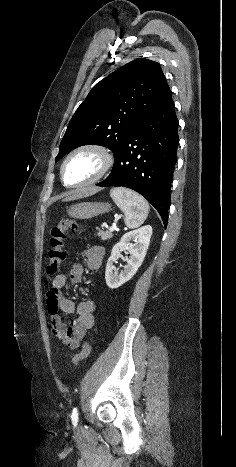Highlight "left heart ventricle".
Masks as SVG:
<instances>
[{
  "mask_svg": "<svg viewBox=\"0 0 236 467\" xmlns=\"http://www.w3.org/2000/svg\"><path fill=\"white\" fill-rule=\"evenodd\" d=\"M101 169L100 157L90 151L72 157L65 168V179L69 184L81 183L93 178Z\"/></svg>",
  "mask_w": 236,
  "mask_h": 467,
  "instance_id": "b2bd125f",
  "label": "left heart ventricle"
}]
</instances>
